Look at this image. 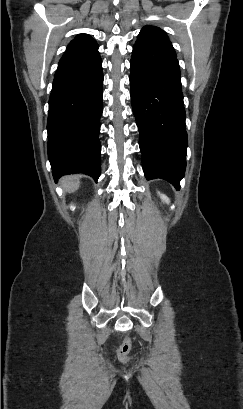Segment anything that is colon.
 Returning <instances> with one entry per match:
<instances>
[{"label": "colon", "instance_id": "5ec220e1", "mask_svg": "<svg viewBox=\"0 0 243 409\" xmlns=\"http://www.w3.org/2000/svg\"><path fill=\"white\" fill-rule=\"evenodd\" d=\"M131 341L125 339L117 350V358L126 362L130 359Z\"/></svg>", "mask_w": 243, "mask_h": 409}]
</instances>
